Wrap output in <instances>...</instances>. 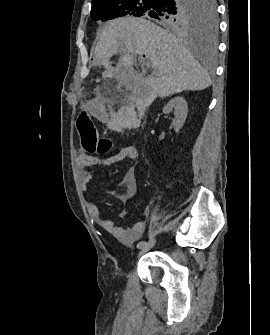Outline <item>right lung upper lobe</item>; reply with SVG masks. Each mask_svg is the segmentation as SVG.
<instances>
[{"label":"right lung upper lobe","instance_id":"cb5924a9","mask_svg":"<svg viewBox=\"0 0 270 335\" xmlns=\"http://www.w3.org/2000/svg\"><path fill=\"white\" fill-rule=\"evenodd\" d=\"M101 1H104V0H92V5H96L100 3Z\"/></svg>","mask_w":270,"mask_h":335}]
</instances>
